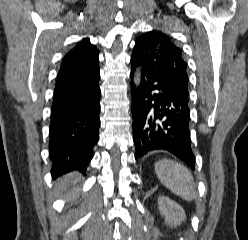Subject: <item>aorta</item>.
<instances>
[{"label": "aorta", "mask_w": 248, "mask_h": 240, "mask_svg": "<svg viewBox=\"0 0 248 240\" xmlns=\"http://www.w3.org/2000/svg\"><path fill=\"white\" fill-rule=\"evenodd\" d=\"M136 83H138V78L135 80Z\"/></svg>", "instance_id": "762f6f07"}]
</instances>
